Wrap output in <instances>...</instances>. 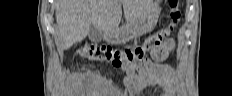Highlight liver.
<instances>
[{
  "label": "liver",
  "instance_id": "liver-1",
  "mask_svg": "<svg viewBox=\"0 0 232 96\" xmlns=\"http://www.w3.org/2000/svg\"><path fill=\"white\" fill-rule=\"evenodd\" d=\"M151 0H57L56 22L60 32L63 49L81 42L93 24L101 32L118 28L124 17L133 23L150 6Z\"/></svg>",
  "mask_w": 232,
  "mask_h": 96
}]
</instances>
